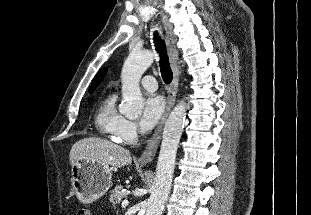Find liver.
<instances>
[{"mask_svg":"<svg viewBox=\"0 0 311 215\" xmlns=\"http://www.w3.org/2000/svg\"><path fill=\"white\" fill-rule=\"evenodd\" d=\"M78 160H91L121 168L130 164L132 157L129 150L117 144L101 138L89 137L77 141L70 150L71 166Z\"/></svg>","mask_w":311,"mask_h":215,"instance_id":"liver-1","label":"liver"}]
</instances>
